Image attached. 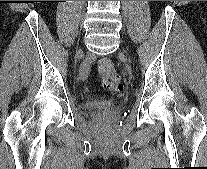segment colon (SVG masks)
<instances>
[{
	"mask_svg": "<svg viewBox=\"0 0 207 169\" xmlns=\"http://www.w3.org/2000/svg\"><path fill=\"white\" fill-rule=\"evenodd\" d=\"M98 73L103 86L111 93H120L123 91V83L119 74L116 72L113 62L110 59L103 58L98 63Z\"/></svg>",
	"mask_w": 207,
	"mask_h": 169,
	"instance_id": "1",
	"label": "colon"
}]
</instances>
